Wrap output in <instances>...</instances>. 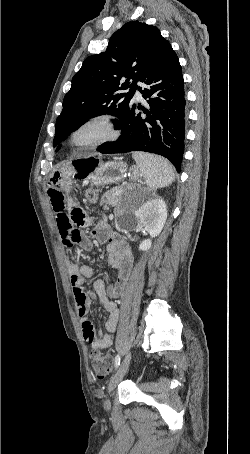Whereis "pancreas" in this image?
Returning a JSON list of instances; mask_svg holds the SVG:
<instances>
[{
    "label": "pancreas",
    "instance_id": "1",
    "mask_svg": "<svg viewBox=\"0 0 250 454\" xmlns=\"http://www.w3.org/2000/svg\"><path fill=\"white\" fill-rule=\"evenodd\" d=\"M120 200V191L117 188L111 189L105 193L100 201V205L108 210L110 206H117Z\"/></svg>",
    "mask_w": 250,
    "mask_h": 454
}]
</instances>
